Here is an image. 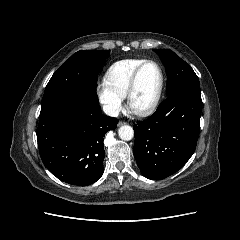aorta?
Instances as JSON below:
<instances>
[{
    "instance_id": "762f6f07",
    "label": "aorta",
    "mask_w": 240,
    "mask_h": 240,
    "mask_svg": "<svg viewBox=\"0 0 240 240\" xmlns=\"http://www.w3.org/2000/svg\"><path fill=\"white\" fill-rule=\"evenodd\" d=\"M118 135L122 140L129 141L134 137V130L129 125H122L118 129Z\"/></svg>"
}]
</instances>
